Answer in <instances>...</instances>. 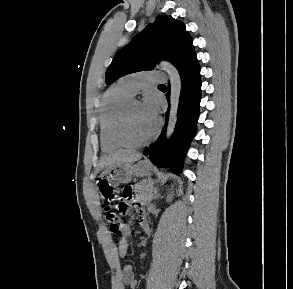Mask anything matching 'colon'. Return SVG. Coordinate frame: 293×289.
Returning a JSON list of instances; mask_svg holds the SVG:
<instances>
[{
	"label": "colon",
	"mask_w": 293,
	"mask_h": 289,
	"mask_svg": "<svg viewBox=\"0 0 293 289\" xmlns=\"http://www.w3.org/2000/svg\"><path fill=\"white\" fill-rule=\"evenodd\" d=\"M132 198V188L130 186H125L123 188L122 197L117 203L116 210H112L110 207L104 208L106 222L112 233L118 234L122 230V222L119 215H127L131 212L139 214L138 207L131 202Z\"/></svg>",
	"instance_id": "5ec220e1"
}]
</instances>
